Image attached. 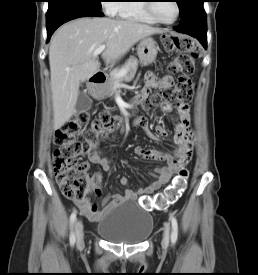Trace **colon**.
Instances as JSON below:
<instances>
[{"instance_id": "colon-1", "label": "colon", "mask_w": 258, "mask_h": 275, "mask_svg": "<svg viewBox=\"0 0 258 275\" xmlns=\"http://www.w3.org/2000/svg\"><path fill=\"white\" fill-rule=\"evenodd\" d=\"M162 44L166 51L178 53L170 62L168 70L179 74L180 77L171 91L156 92L150 99H145L143 104L146 107L161 105L164 109H170L191 100L194 83L189 76L194 73L199 52L190 37L165 34L162 37ZM89 122V127L84 129ZM119 125V119L107 112L99 113L90 121V113L83 110L77 112L57 130L53 169L62 194L66 198L76 201L86 199L91 190L92 176L88 173V163L82 162L81 156L95 147L102 135L115 131ZM188 178L189 171L181 168L163 191L153 196H141L138 200L139 205L147 211L166 209L174 204L185 191Z\"/></svg>"}]
</instances>
